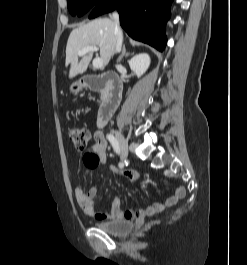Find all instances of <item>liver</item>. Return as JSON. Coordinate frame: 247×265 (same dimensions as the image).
I'll return each instance as SVG.
<instances>
[{
	"label": "liver",
	"instance_id": "obj_1",
	"mask_svg": "<svg viewBox=\"0 0 247 265\" xmlns=\"http://www.w3.org/2000/svg\"><path fill=\"white\" fill-rule=\"evenodd\" d=\"M87 46H97L103 64L107 65L116 48L115 23L108 18H99L72 30L67 41L65 62L66 66L70 65V79L86 71L93 53H86L78 61V52Z\"/></svg>",
	"mask_w": 247,
	"mask_h": 265
}]
</instances>
